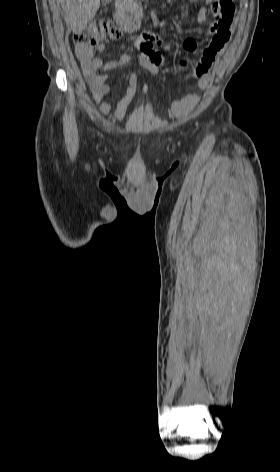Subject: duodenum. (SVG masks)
Returning a JSON list of instances; mask_svg holds the SVG:
<instances>
[{
	"mask_svg": "<svg viewBox=\"0 0 280 472\" xmlns=\"http://www.w3.org/2000/svg\"><path fill=\"white\" fill-rule=\"evenodd\" d=\"M141 16L142 13L139 10L131 12L122 11L116 15V19L125 31L132 32L139 28Z\"/></svg>",
	"mask_w": 280,
	"mask_h": 472,
	"instance_id": "410a0bca",
	"label": "duodenum"
}]
</instances>
